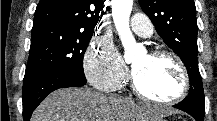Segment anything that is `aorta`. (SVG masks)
Returning <instances> with one entry per match:
<instances>
[{
  "mask_svg": "<svg viewBox=\"0 0 217 121\" xmlns=\"http://www.w3.org/2000/svg\"><path fill=\"white\" fill-rule=\"evenodd\" d=\"M132 6L133 0H112L113 21L125 48V59H132L139 49L129 28Z\"/></svg>",
  "mask_w": 217,
  "mask_h": 121,
  "instance_id": "762f6f07",
  "label": "aorta"
}]
</instances>
